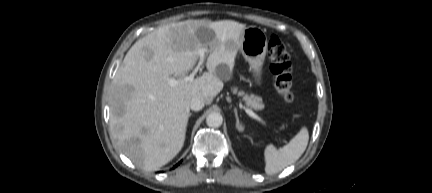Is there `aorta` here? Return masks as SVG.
<instances>
[{"label": "aorta", "mask_w": 432, "mask_h": 193, "mask_svg": "<svg viewBox=\"0 0 432 193\" xmlns=\"http://www.w3.org/2000/svg\"><path fill=\"white\" fill-rule=\"evenodd\" d=\"M206 123L209 127H213V128L220 127L223 123V117L218 112H211L206 117Z\"/></svg>", "instance_id": "aorta-1"}]
</instances>
